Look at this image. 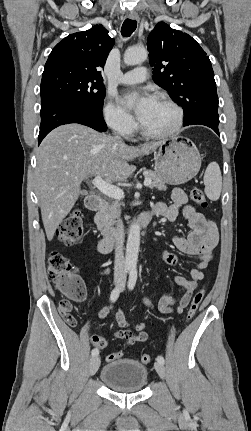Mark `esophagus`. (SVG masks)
Returning a JSON list of instances; mask_svg holds the SVG:
<instances>
[{
	"instance_id": "esophagus-1",
	"label": "esophagus",
	"mask_w": 251,
	"mask_h": 431,
	"mask_svg": "<svg viewBox=\"0 0 251 431\" xmlns=\"http://www.w3.org/2000/svg\"><path fill=\"white\" fill-rule=\"evenodd\" d=\"M128 17L131 20H139V16H138V14L136 12H130L129 15H128Z\"/></svg>"
}]
</instances>
